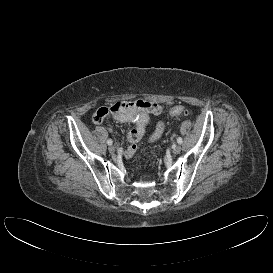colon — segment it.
<instances>
[{
	"label": "colon",
	"instance_id": "1",
	"mask_svg": "<svg viewBox=\"0 0 273 273\" xmlns=\"http://www.w3.org/2000/svg\"><path fill=\"white\" fill-rule=\"evenodd\" d=\"M168 114L170 116H183V115H188L189 110L182 105H175L168 109Z\"/></svg>",
	"mask_w": 273,
	"mask_h": 273
}]
</instances>
